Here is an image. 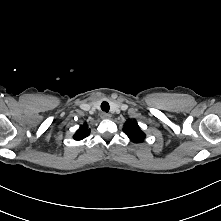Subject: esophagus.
Instances as JSON below:
<instances>
[{
	"label": "esophagus",
	"instance_id": "34e87169",
	"mask_svg": "<svg viewBox=\"0 0 221 221\" xmlns=\"http://www.w3.org/2000/svg\"><path fill=\"white\" fill-rule=\"evenodd\" d=\"M101 117H102L103 119H110V118H111V115L104 112V113L101 114Z\"/></svg>",
	"mask_w": 221,
	"mask_h": 221
}]
</instances>
